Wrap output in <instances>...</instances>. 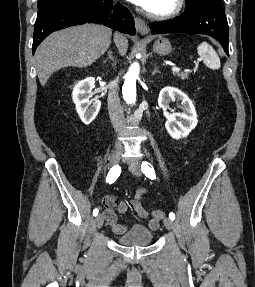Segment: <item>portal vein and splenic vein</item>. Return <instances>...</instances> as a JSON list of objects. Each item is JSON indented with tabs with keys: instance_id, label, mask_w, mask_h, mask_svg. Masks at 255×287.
<instances>
[{
	"instance_id": "18ae733b",
	"label": "portal vein and splenic vein",
	"mask_w": 255,
	"mask_h": 287,
	"mask_svg": "<svg viewBox=\"0 0 255 287\" xmlns=\"http://www.w3.org/2000/svg\"><path fill=\"white\" fill-rule=\"evenodd\" d=\"M180 68H176V66H174V68H172V72H179Z\"/></svg>"
}]
</instances>
